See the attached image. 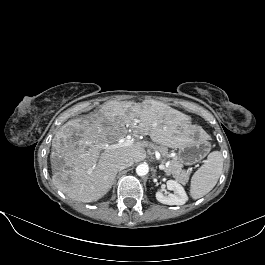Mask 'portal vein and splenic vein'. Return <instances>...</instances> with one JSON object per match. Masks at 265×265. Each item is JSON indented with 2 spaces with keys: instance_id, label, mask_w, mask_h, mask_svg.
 Listing matches in <instances>:
<instances>
[{
  "instance_id": "obj_1",
  "label": "portal vein and splenic vein",
  "mask_w": 265,
  "mask_h": 265,
  "mask_svg": "<svg viewBox=\"0 0 265 265\" xmlns=\"http://www.w3.org/2000/svg\"><path fill=\"white\" fill-rule=\"evenodd\" d=\"M134 143V140L127 136L126 138H122L120 139L116 144H113V145H110V146H107L108 149H117V148H120V147H127V146H130ZM159 168L161 170H165L166 166L164 164H160L159 165Z\"/></svg>"
}]
</instances>
